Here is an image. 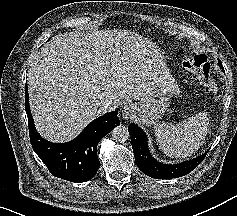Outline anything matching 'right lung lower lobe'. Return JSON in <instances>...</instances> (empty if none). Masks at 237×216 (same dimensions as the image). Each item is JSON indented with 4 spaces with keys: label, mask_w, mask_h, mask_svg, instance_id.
Returning <instances> with one entry per match:
<instances>
[{
    "label": "right lung lower lobe",
    "mask_w": 237,
    "mask_h": 216,
    "mask_svg": "<svg viewBox=\"0 0 237 216\" xmlns=\"http://www.w3.org/2000/svg\"><path fill=\"white\" fill-rule=\"evenodd\" d=\"M25 110L31 145L52 175L76 183L86 182L95 176L100 167L97 145L105 135L120 125L118 110L95 119L74 140L61 144L44 140L36 131L27 87Z\"/></svg>",
    "instance_id": "obj_1"
}]
</instances>
